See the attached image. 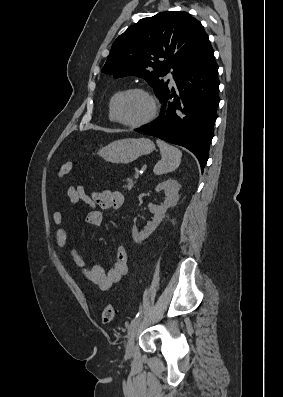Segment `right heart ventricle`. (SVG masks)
Returning a JSON list of instances; mask_svg holds the SVG:
<instances>
[{"instance_id":"obj_1","label":"right heart ventricle","mask_w":283,"mask_h":397,"mask_svg":"<svg viewBox=\"0 0 283 397\" xmlns=\"http://www.w3.org/2000/svg\"><path fill=\"white\" fill-rule=\"evenodd\" d=\"M118 92H119V91H116V92L111 96L110 101H109L108 116H109V119H110L111 121H114L113 116H112V112H111V103H112V100H113L114 96H115Z\"/></svg>"}]
</instances>
